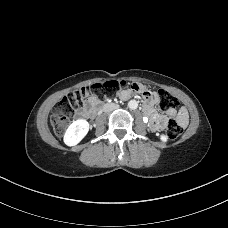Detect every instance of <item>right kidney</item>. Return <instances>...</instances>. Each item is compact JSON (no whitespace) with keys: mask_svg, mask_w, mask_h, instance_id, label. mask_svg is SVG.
I'll use <instances>...</instances> for the list:
<instances>
[{"mask_svg":"<svg viewBox=\"0 0 228 228\" xmlns=\"http://www.w3.org/2000/svg\"><path fill=\"white\" fill-rule=\"evenodd\" d=\"M89 129L90 125L86 120L74 121L65 132L64 143L67 146L77 145L87 135Z\"/></svg>","mask_w":228,"mask_h":228,"instance_id":"1","label":"right kidney"}]
</instances>
